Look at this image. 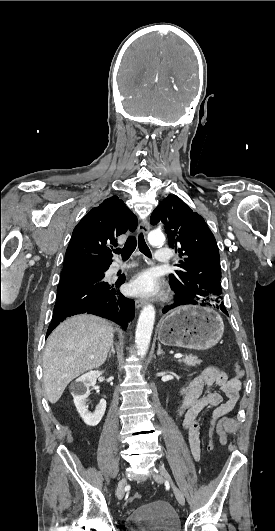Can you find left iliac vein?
<instances>
[{"mask_svg":"<svg viewBox=\"0 0 275 531\" xmlns=\"http://www.w3.org/2000/svg\"><path fill=\"white\" fill-rule=\"evenodd\" d=\"M159 470H160V473H156L153 475V478L154 480L157 482V483H162L164 481H167L172 489H173V492L175 494V497L177 499V501L179 502V504H181L182 506L185 505V497L183 495V493L179 490V488H177L174 483L172 482V479L169 475V473L167 472V470L165 469V467L163 465H159Z\"/></svg>","mask_w":275,"mask_h":531,"instance_id":"4c4485c4","label":"left iliac vein"}]
</instances>
